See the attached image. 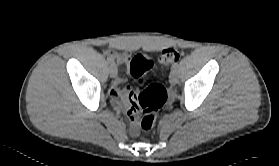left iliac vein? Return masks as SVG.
<instances>
[{"label":"left iliac vein","mask_w":279,"mask_h":166,"mask_svg":"<svg viewBox=\"0 0 279 166\" xmlns=\"http://www.w3.org/2000/svg\"><path fill=\"white\" fill-rule=\"evenodd\" d=\"M169 82L172 85H175L178 82V72L176 69L172 70L169 75Z\"/></svg>","instance_id":"obj_1"}]
</instances>
